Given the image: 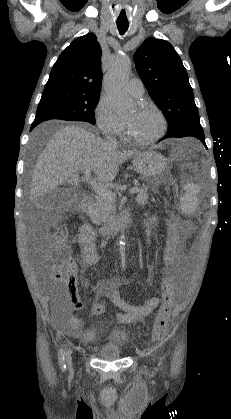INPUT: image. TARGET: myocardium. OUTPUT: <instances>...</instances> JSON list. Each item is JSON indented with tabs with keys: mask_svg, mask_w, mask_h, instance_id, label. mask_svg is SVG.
Wrapping results in <instances>:
<instances>
[{
	"mask_svg": "<svg viewBox=\"0 0 231 419\" xmlns=\"http://www.w3.org/2000/svg\"><path fill=\"white\" fill-rule=\"evenodd\" d=\"M139 108L142 109V110H151V111L155 112L158 115L159 119H160L161 128H160L159 132L156 135H154V136H152L150 138L143 139V138H138V137L134 136L131 133V131L129 129V126L127 124L126 125L127 137H128V139L130 141H132V142H134L136 144H139V145L153 144V143L157 142L165 134V132L167 130V120H166V117H165L164 113L156 105H154V104H151V103H142V104L139 105Z\"/></svg>",
	"mask_w": 231,
	"mask_h": 419,
	"instance_id": "obj_1",
	"label": "myocardium"
}]
</instances>
